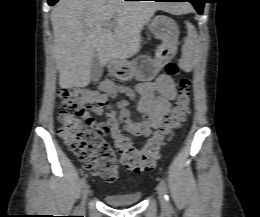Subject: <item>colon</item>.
Here are the masks:
<instances>
[{
    "label": "colon",
    "instance_id": "obj_1",
    "mask_svg": "<svg viewBox=\"0 0 260 217\" xmlns=\"http://www.w3.org/2000/svg\"><path fill=\"white\" fill-rule=\"evenodd\" d=\"M166 73L175 76L179 67L174 62L166 65ZM58 134L83 167L105 181H114L120 166L136 172L150 171L167 141L190 113V80L180 82L179 96L163 121L161 128L142 148L132 145L131 139L115 128V120L108 124L97 123L90 114L95 108L108 106L106 94L85 88L66 89L60 93ZM112 116L111 113H109ZM108 131L115 135V144L108 139Z\"/></svg>",
    "mask_w": 260,
    "mask_h": 217
}]
</instances>
